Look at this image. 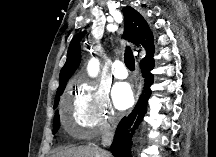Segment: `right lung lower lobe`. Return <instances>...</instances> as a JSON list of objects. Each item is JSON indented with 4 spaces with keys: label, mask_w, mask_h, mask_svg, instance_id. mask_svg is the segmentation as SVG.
<instances>
[{
    "label": "right lung lower lobe",
    "mask_w": 216,
    "mask_h": 157,
    "mask_svg": "<svg viewBox=\"0 0 216 157\" xmlns=\"http://www.w3.org/2000/svg\"><path fill=\"white\" fill-rule=\"evenodd\" d=\"M154 59L151 57L145 62H141V70L145 78V85L142 95L135 109L128 117H124L116 129L114 140L111 145V152L114 157H132L130 153L131 138L134 130L138 127L146 112L148 99L151 95L150 86L153 84V75L150 71L154 68Z\"/></svg>",
    "instance_id": "right-lung-lower-lobe-1"
}]
</instances>
